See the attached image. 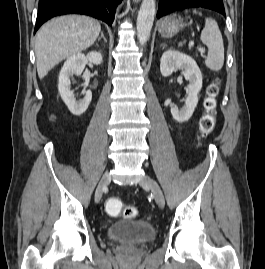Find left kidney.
<instances>
[{
    "label": "left kidney",
    "mask_w": 265,
    "mask_h": 269,
    "mask_svg": "<svg viewBox=\"0 0 265 269\" xmlns=\"http://www.w3.org/2000/svg\"><path fill=\"white\" fill-rule=\"evenodd\" d=\"M176 69H181L183 76L189 81L185 106L181 109L171 108L172 117L183 123L190 119L197 106L198 93L202 88V74L197 63L188 55L171 49L165 51L160 62L161 74L167 77Z\"/></svg>",
    "instance_id": "left-kidney-1"
}]
</instances>
